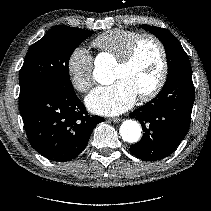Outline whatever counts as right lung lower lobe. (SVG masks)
<instances>
[{
  "label": "right lung lower lobe",
  "instance_id": "right-lung-lower-lobe-1",
  "mask_svg": "<svg viewBox=\"0 0 211 211\" xmlns=\"http://www.w3.org/2000/svg\"><path fill=\"white\" fill-rule=\"evenodd\" d=\"M19 108L31 146L52 161L65 162L86 147L103 117L89 116L74 90L40 84L20 93Z\"/></svg>",
  "mask_w": 211,
  "mask_h": 211
}]
</instances>
